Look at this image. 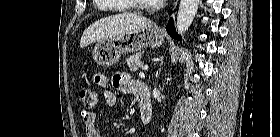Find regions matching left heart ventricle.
<instances>
[{
  "mask_svg": "<svg viewBox=\"0 0 280 137\" xmlns=\"http://www.w3.org/2000/svg\"><path fill=\"white\" fill-rule=\"evenodd\" d=\"M144 2H149V0H143Z\"/></svg>",
  "mask_w": 280,
  "mask_h": 137,
  "instance_id": "1",
  "label": "left heart ventricle"
}]
</instances>
